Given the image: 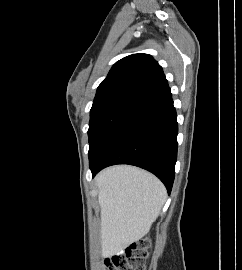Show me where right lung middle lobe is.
I'll return each mask as SVG.
<instances>
[{"label": "right lung middle lobe", "instance_id": "obj_1", "mask_svg": "<svg viewBox=\"0 0 242 270\" xmlns=\"http://www.w3.org/2000/svg\"><path fill=\"white\" fill-rule=\"evenodd\" d=\"M136 106L132 103L118 102L91 108L88 130L89 162L97 157Z\"/></svg>", "mask_w": 242, "mask_h": 270}]
</instances>
